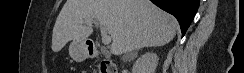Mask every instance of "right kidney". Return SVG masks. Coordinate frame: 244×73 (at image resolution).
<instances>
[{
	"instance_id": "ca27d5eb",
	"label": "right kidney",
	"mask_w": 244,
	"mask_h": 73,
	"mask_svg": "<svg viewBox=\"0 0 244 73\" xmlns=\"http://www.w3.org/2000/svg\"><path fill=\"white\" fill-rule=\"evenodd\" d=\"M158 65V57L156 53L148 52L139 57L134 65L133 73H155L156 67Z\"/></svg>"
}]
</instances>
